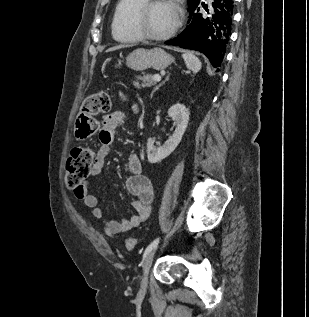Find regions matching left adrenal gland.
I'll list each match as a JSON object with an SVG mask.
<instances>
[{
	"label": "left adrenal gland",
	"mask_w": 309,
	"mask_h": 317,
	"mask_svg": "<svg viewBox=\"0 0 309 317\" xmlns=\"http://www.w3.org/2000/svg\"><path fill=\"white\" fill-rule=\"evenodd\" d=\"M168 80H169V75L166 77L165 81H163L158 87H156V88L153 90L152 94H153L157 89H159V87H161L163 84H165V82L168 81Z\"/></svg>",
	"instance_id": "obj_1"
}]
</instances>
